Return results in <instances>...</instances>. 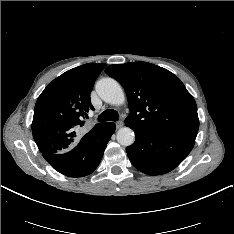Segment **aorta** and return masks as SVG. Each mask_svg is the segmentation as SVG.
I'll return each mask as SVG.
<instances>
[{
  "label": "aorta",
  "mask_w": 234,
  "mask_h": 234,
  "mask_svg": "<svg viewBox=\"0 0 234 234\" xmlns=\"http://www.w3.org/2000/svg\"><path fill=\"white\" fill-rule=\"evenodd\" d=\"M96 91L100 98L111 104L121 105L125 102V94L120 84L112 78H103L96 84ZM117 141L122 146H130L135 141V135L131 128L123 127L117 132Z\"/></svg>",
  "instance_id": "1"
}]
</instances>
